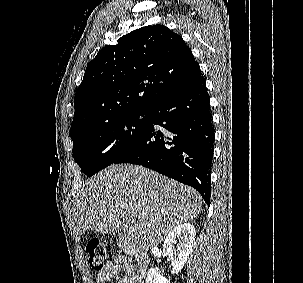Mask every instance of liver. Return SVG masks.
<instances>
[{
  "label": "liver",
  "instance_id": "obj_1",
  "mask_svg": "<svg viewBox=\"0 0 303 283\" xmlns=\"http://www.w3.org/2000/svg\"><path fill=\"white\" fill-rule=\"evenodd\" d=\"M76 234L115 233L131 219L126 239L135 251L158 245L175 227L196 218L199 193L157 172L131 164L111 165L89 178L77 194Z\"/></svg>",
  "mask_w": 303,
  "mask_h": 283
}]
</instances>
